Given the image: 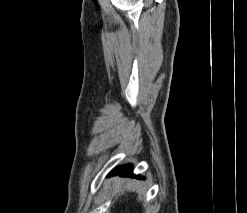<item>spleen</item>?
Returning <instances> with one entry per match:
<instances>
[{"label":"spleen","instance_id":"1","mask_svg":"<svg viewBox=\"0 0 247 213\" xmlns=\"http://www.w3.org/2000/svg\"><path fill=\"white\" fill-rule=\"evenodd\" d=\"M128 190L139 192L143 190V186L140 182H133L128 186Z\"/></svg>","mask_w":247,"mask_h":213}]
</instances>
